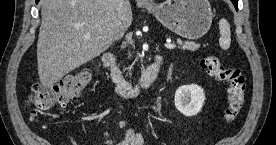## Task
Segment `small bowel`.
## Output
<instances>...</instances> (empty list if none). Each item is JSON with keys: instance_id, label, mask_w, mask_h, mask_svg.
I'll return each instance as SVG.
<instances>
[{"instance_id": "1", "label": "small bowel", "mask_w": 276, "mask_h": 145, "mask_svg": "<svg viewBox=\"0 0 276 145\" xmlns=\"http://www.w3.org/2000/svg\"><path fill=\"white\" fill-rule=\"evenodd\" d=\"M124 126L125 123L123 121L119 123V127ZM107 135V133L104 134V136L106 137L103 143L104 145H144L143 136L133 129L127 130L124 139L117 144L113 140L108 139Z\"/></svg>"}]
</instances>
